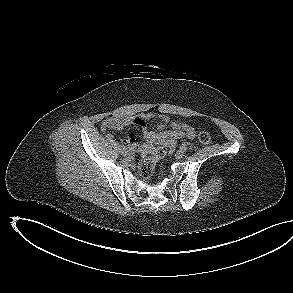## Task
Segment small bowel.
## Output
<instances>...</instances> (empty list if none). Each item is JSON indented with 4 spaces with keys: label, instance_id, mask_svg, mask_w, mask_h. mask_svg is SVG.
<instances>
[{
    "label": "small bowel",
    "instance_id": "c3829d8e",
    "mask_svg": "<svg viewBox=\"0 0 293 293\" xmlns=\"http://www.w3.org/2000/svg\"><path fill=\"white\" fill-rule=\"evenodd\" d=\"M158 119L160 123L155 130L149 129L147 121ZM137 125L141 128L143 141L130 134L124 140V143L133 149H149L154 144H161L166 141L177 143L180 139H192L196 136V131L188 123L172 120L164 114H139L134 117L107 118L101 123V130L120 129L129 125Z\"/></svg>",
    "mask_w": 293,
    "mask_h": 293
}]
</instances>
